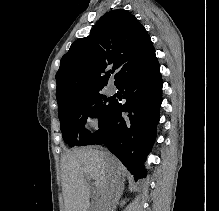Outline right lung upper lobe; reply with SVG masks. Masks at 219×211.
Here are the masks:
<instances>
[{
    "mask_svg": "<svg viewBox=\"0 0 219 211\" xmlns=\"http://www.w3.org/2000/svg\"><path fill=\"white\" fill-rule=\"evenodd\" d=\"M155 57L144 26L124 9L103 15L90 35L76 40L56 74L58 105L99 93L115 72V85Z\"/></svg>",
    "mask_w": 219,
    "mask_h": 211,
    "instance_id": "obj_1",
    "label": "right lung upper lobe"
}]
</instances>
